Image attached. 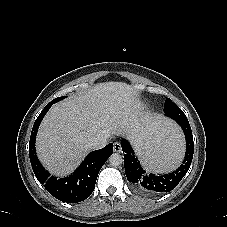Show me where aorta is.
<instances>
[{"mask_svg":"<svg viewBox=\"0 0 227 227\" xmlns=\"http://www.w3.org/2000/svg\"><path fill=\"white\" fill-rule=\"evenodd\" d=\"M110 165L117 167L123 163V157L119 153H113L109 157Z\"/></svg>","mask_w":227,"mask_h":227,"instance_id":"aorta-1","label":"aorta"}]
</instances>
